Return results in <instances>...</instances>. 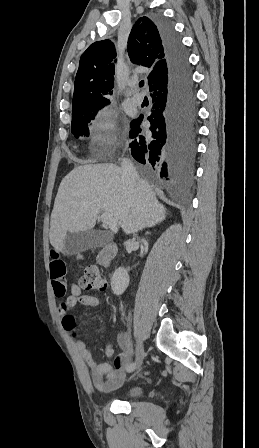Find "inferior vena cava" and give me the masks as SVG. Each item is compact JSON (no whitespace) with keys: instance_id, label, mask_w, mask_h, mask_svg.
Masks as SVG:
<instances>
[{"instance_id":"602c4592","label":"inferior vena cava","mask_w":259,"mask_h":448,"mask_svg":"<svg viewBox=\"0 0 259 448\" xmlns=\"http://www.w3.org/2000/svg\"><path fill=\"white\" fill-rule=\"evenodd\" d=\"M121 180L123 186H126L128 190H131L133 184L138 180L136 168H134L133 164L127 158H124L121 162Z\"/></svg>"}]
</instances>
